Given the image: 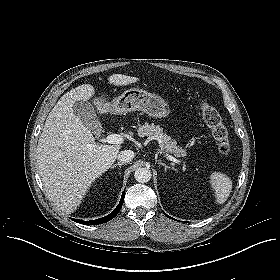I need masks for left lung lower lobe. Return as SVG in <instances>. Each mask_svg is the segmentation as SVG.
I'll return each instance as SVG.
<instances>
[{"mask_svg": "<svg viewBox=\"0 0 280 280\" xmlns=\"http://www.w3.org/2000/svg\"><path fill=\"white\" fill-rule=\"evenodd\" d=\"M165 214V213H164ZM165 216L169 217L167 214H165ZM170 218V217H169Z\"/></svg>", "mask_w": 280, "mask_h": 280, "instance_id": "1", "label": "left lung lower lobe"}]
</instances>
